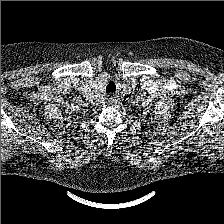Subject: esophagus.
Listing matches in <instances>:
<instances>
[{
  "label": "esophagus",
  "mask_w": 224,
  "mask_h": 224,
  "mask_svg": "<svg viewBox=\"0 0 224 224\" xmlns=\"http://www.w3.org/2000/svg\"><path fill=\"white\" fill-rule=\"evenodd\" d=\"M115 101V99L113 98V97H111L110 99H109V103H113Z\"/></svg>",
  "instance_id": "1"
}]
</instances>
